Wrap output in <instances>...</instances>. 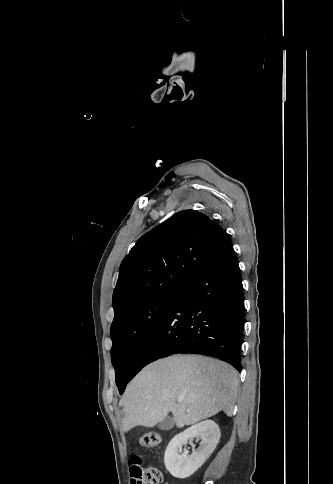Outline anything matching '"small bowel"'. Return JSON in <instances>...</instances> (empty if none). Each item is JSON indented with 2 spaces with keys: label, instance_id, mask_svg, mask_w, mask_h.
<instances>
[{
  "label": "small bowel",
  "instance_id": "obj_1",
  "mask_svg": "<svg viewBox=\"0 0 333 484\" xmlns=\"http://www.w3.org/2000/svg\"><path fill=\"white\" fill-rule=\"evenodd\" d=\"M129 466H130V472H131V481L132 484H138L139 481V475L142 470V460L138 456H133L129 460Z\"/></svg>",
  "mask_w": 333,
  "mask_h": 484
}]
</instances>
